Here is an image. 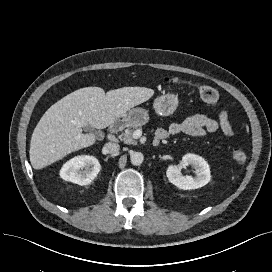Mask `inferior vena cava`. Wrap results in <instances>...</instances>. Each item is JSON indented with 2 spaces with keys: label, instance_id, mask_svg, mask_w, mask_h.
I'll return each instance as SVG.
<instances>
[{
  "label": "inferior vena cava",
  "instance_id": "inferior-vena-cava-1",
  "mask_svg": "<svg viewBox=\"0 0 272 272\" xmlns=\"http://www.w3.org/2000/svg\"><path fill=\"white\" fill-rule=\"evenodd\" d=\"M103 149L106 153L117 154L120 150V146L117 143L108 142L104 145Z\"/></svg>",
  "mask_w": 272,
  "mask_h": 272
}]
</instances>
